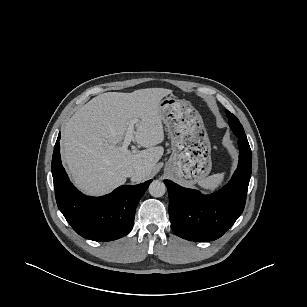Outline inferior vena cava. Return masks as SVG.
<instances>
[{
  "instance_id": "obj_1",
  "label": "inferior vena cava",
  "mask_w": 307,
  "mask_h": 307,
  "mask_svg": "<svg viewBox=\"0 0 307 307\" xmlns=\"http://www.w3.org/2000/svg\"><path fill=\"white\" fill-rule=\"evenodd\" d=\"M138 174H139V172L137 170L133 169V168H127L126 170H124V175L126 177L133 178V177H135Z\"/></svg>"
}]
</instances>
